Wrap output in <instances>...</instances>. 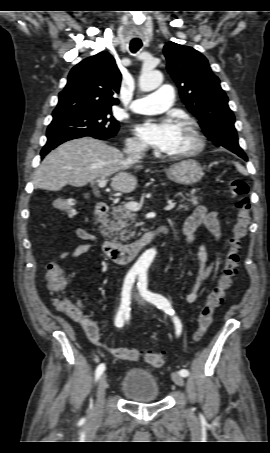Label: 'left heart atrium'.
<instances>
[{"label": "left heart atrium", "mask_w": 270, "mask_h": 453, "mask_svg": "<svg viewBox=\"0 0 270 453\" xmlns=\"http://www.w3.org/2000/svg\"><path fill=\"white\" fill-rule=\"evenodd\" d=\"M176 128L170 119L146 120L137 128V133L147 144L165 150L171 145Z\"/></svg>", "instance_id": "left-heart-atrium-1"}]
</instances>
